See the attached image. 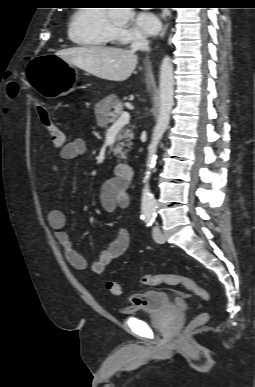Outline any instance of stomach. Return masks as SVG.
I'll return each instance as SVG.
<instances>
[{
    "label": "stomach",
    "mask_w": 255,
    "mask_h": 387,
    "mask_svg": "<svg viewBox=\"0 0 255 387\" xmlns=\"http://www.w3.org/2000/svg\"><path fill=\"white\" fill-rule=\"evenodd\" d=\"M42 50L45 54L35 55L25 67L26 82H31L33 91H38V95H65V91H75L76 85L72 83L77 78L76 68L59 55H53L49 46Z\"/></svg>",
    "instance_id": "stomach-1"
}]
</instances>
